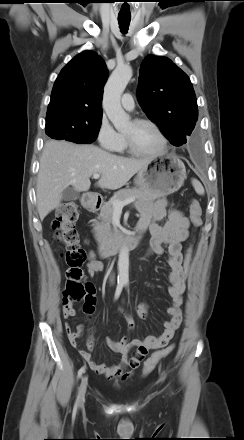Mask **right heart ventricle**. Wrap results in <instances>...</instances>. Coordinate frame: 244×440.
Instances as JSON below:
<instances>
[{"mask_svg": "<svg viewBox=\"0 0 244 440\" xmlns=\"http://www.w3.org/2000/svg\"><path fill=\"white\" fill-rule=\"evenodd\" d=\"M114 151L118 152V153H130V151L128 150V147L126 145L124 136L122 134H120V139H119L118 145L116 146Z\"/></svg>", "mask_w": 244, "mask_h": 440, "instance_id": "right-heart-ventricle-1", "label": "right heart ventricle"}]
</instances>
